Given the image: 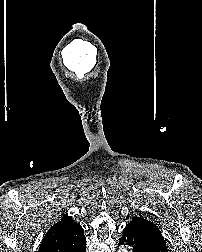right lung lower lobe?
<instances>
[{
	"label": "right lung lower lobe",
	"instance_id": "right-lung-lower-lobe-1",
	"mask_svg": "<svg viewBox=\"0 0 202 252\" xmlns=\"http://www.w3.org/2000/svg\"><path fill=\"white\" fill-rule=\"evenodd\" d=\"M81 252H86V242H85V246H84L83 250H81Z\"/></svg>",
	"mask_w": 202,
	"mask_h": 252
}]
</instances>
